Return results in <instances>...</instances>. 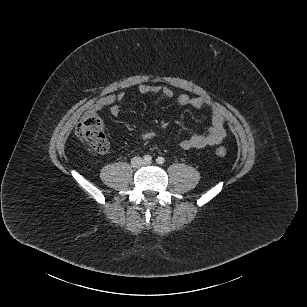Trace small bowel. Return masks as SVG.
Wrapping results in <instances>:
<instances>
[{
  "mask_svg": "<svg viewBox=\"0 0 307 307\" xmlns=\"http://www.w3.org/2000/svg\"><path fill=\"white\" fill-rule=\"evenodd\" d=\"M138 92L141 94H159L166 98L174 96V92L171 88L158 85H141L138 88ZM126 94L121 92L117 94H109L99 99L94 108L101 110L104 107H109L110 113L113 116H118L120 113V103L126 99ZM177 102L182 106H189L194 109L208 110L211 115V125L206 133H194L190 137L181 140L178 146L183 150L191 149H203L208 146H216L220 144L225 136L226 120L222 112L211 105L205 99L201 97H191L187 94H179L177 96ZM155 134L151 131L144 132L141 135V139L149 141L153 139Z\"/></svg>",
  "mask_w": 307,
  "mask_h": 307,
  "instance_id": "obj_1",
  "label": "small bowel"
}]
</instances>
